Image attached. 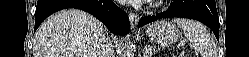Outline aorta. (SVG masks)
I'll return each mask as SVG.
<instances>
[{"instance_id": "aorta-1", "label": "aorta", "mask_w": 249, "mask_h": 57, "mask_svg": "<svg viewBox=\"0 0 249 57\" xmlns=\"http://www.w3.org/2000/svg\"><path fill=\"white\" fill-rule=\"evenodd\" d=\"M134 53H133V49H132V45L129 42V44L127 45V50L124 53V57H133Z\"/></svg>"}]
</instances>
